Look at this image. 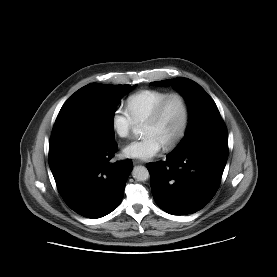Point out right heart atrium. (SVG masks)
Returning a JSON list of instances; mask_svg holds the SVG:
<instances>
[{
  "mask_svg": "<svg viewBox=\"0 0 277 277\" xmlns=\"http://www.w3.org/2000/svg\"><path fill=\"white\" fill-rule=\"evenodd\" d=\"M135 124L128 111L122 108H117L111 118L112 129L120 138L128 137Z\"/></svg>",
  "mask_w": 277,
  "mask_h": 277,
  "instance_id": "right-heart-atrium-1",
  "label": "right heart atrium"
}]
</instances>
